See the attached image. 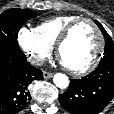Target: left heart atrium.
<instances>
[{"label":"left heart atrium","instance_id":"left-heart-atrium-1","mask_svg":"<svg viewBox=\"0 0 114 114\" xmlns=\"http://www.w3.org/2000/svg\"><path fill=\"white\" fill-rule=\"evenodd\" d=\"M61 61V60H60ZM61 63L63 64V65H65L64 63H63V61H61Z\"/></svg>","mask_w":114,"mask_h":114}]
</instances>
